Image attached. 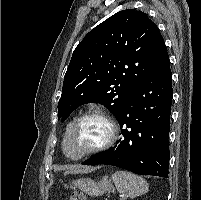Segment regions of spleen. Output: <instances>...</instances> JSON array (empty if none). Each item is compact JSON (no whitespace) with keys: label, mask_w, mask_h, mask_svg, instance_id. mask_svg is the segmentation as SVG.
<instances>
[{"label":"spleen","mask_w":201,"mask_h":200,"mask_svg":"<svg viewBox=\"0 0 201 200\" xmlns=\"http://www.w3.org/2000/svg\"><path fill=\"white\" fill-rule=\"evenodd\" d=\"M112 180L119 193L125 194L131 199L148 192V183L140 176L127 171H116Z\"/></svg>","instance_id":"3e777b00"}]
</instances>
